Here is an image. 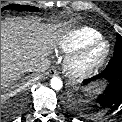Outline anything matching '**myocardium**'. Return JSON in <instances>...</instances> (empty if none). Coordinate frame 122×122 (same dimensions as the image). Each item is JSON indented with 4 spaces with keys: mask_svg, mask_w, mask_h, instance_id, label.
<instances>
[{
    "mask_svg": "<svg viewBox=\"0 0 122 122\" xmlns=\"http://www.w3.org/2000/svg\"><path fill=\"white\" fill-rule=\"evenodd\" d=\"M100 46L103 47L101 54L94 60L86 62V59L90 54ZM110 50V43L107 40L100 38L70 53L65 60L67 75L74 80H83L91 76L106 62Z\"/></svg>",
    "mask_w": 122,
    "mask_h": 122,
    "instance_id": "myocardium-1",
    "label": "myocardium"
}]
</instances>
